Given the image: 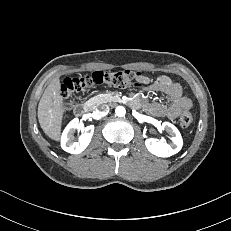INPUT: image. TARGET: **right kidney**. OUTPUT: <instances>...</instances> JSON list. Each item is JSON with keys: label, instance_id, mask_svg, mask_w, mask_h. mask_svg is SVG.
Here are the masks:
<instances>
[{"label": "right kidney", "instance_id": "1", "mask_svg": "<svg viewBox=\"0 0 231 231\" xmlns=\"http://www.w3.org/2000/svg\"><path fill=\"white\" fill-rule=\"evenodd\" d=\"M80 130L79 120L73 119L64 129L61 137V147L71 154H80L89 145L94 132V126L90 125L82 130L78 142L74 141V133Z\"/></svg>", "mask_w": 231, "mask_h": 231}]
</instances>
